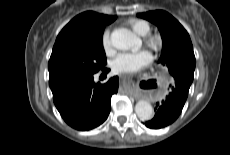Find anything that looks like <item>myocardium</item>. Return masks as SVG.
Listing matches in <instances>:
<instances>
[{
	"label": "myocardium",
	"instance_id": "f54148a6",
	"mask_svg": "<svg viewBox=\"0 0 230 155\" xmlns=\"http://www.w3.org/2000/svg\"><path fill=\"white\" fill-rule=\"evenodd\" d=\"M152 44L155 46L157 44V41L155 39H153Z\"/></svg>",
	"mask_w": 230,
	"mask_h": 155
}]
</instances>
